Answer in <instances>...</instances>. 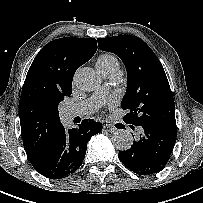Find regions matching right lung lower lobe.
Here are the masks:
<instances>
[{
    "mask_svg": "<svg viewBox=\"0 0 203 203\" xmlns=\"http://www.w3.org/2000/svg\"><path fill=\"white\" fill-rule=\"evenodd\" d=\"M79 128L58 129L46 149L31 164L40 174L50 179L67 177L77 170L85 157L87 142L102 130V124L85 119Z\"/></svg>",
    "mask_w": 203,
    "mask_h": 203,
    "instance_id": "1",
    "label": "right lung lower lobe"
}]
</instances>
